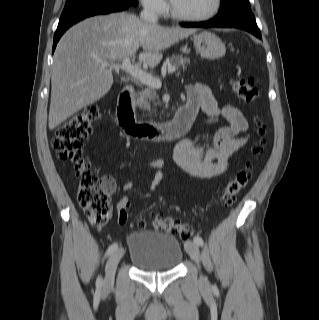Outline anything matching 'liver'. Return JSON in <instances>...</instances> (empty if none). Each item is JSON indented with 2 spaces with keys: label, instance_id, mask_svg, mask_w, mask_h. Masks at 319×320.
I'll list each match as a JSON object with an SVG mask.
<instances>
[{
  "label": "liver",
  "instance_id": "liver-1",
  "mask_svg": "<svg viewBox=\"0 0 319 320\" xmlns=\"http://www.w3.org/2000/svg\"><path fill=\"white\" fill-rule=\"evenodd\" d=\"M195 31L163 27L128 13L95 16L71 27L54 53L49 129L108 93L113 75L102 63L134 56L142 47L139 63L154 67L162 59V50Z\"/></svg>",
  "mask_w": 319,
  "mask_h": 320
}]
</instances>
